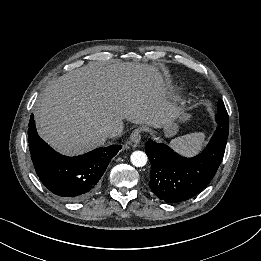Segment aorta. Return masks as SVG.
Masks as SVG:
<instances>
[{
	"label": "aorta",
	"instance_id": "obj_1",
	"mask_svg": "<svg viewBox=\"0 0 261 261\" xmlns=\"http://www.w3.org/2000/svg\"><path fill=\"white\" fill-rule=\"evenodd\" d=\"M131 163L136 167H143L147 163V155L142 151H135L131 154Z\"/></svg>",
	"mask_w": 261,
	"mask_h": 261
}]
</instances>
